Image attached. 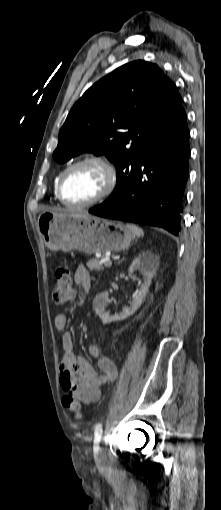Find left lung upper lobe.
I'll list each match as a JSON object with an SVG mask.
<instances>
[{
  "instance_id": "left-lung-upper-lobe-1",
  "label": "left lung upper lobe",
  "mask_w": 221,
  "mask_h": 510,
  "mask_svg": "<svg viewBox=\"0 0 221 510\" xmlns=\"http://www.w3.org/2000/svg\"><path fill=\"white\" fill-rule=\"evenodd\" d=\"M175 84L146 61L125 64L93 84L72 107L53 157L63 163L83 152L104 154L117 183L107 200L131 182L157 141L187 127Z\"/></svg>"
}]
</instances>
